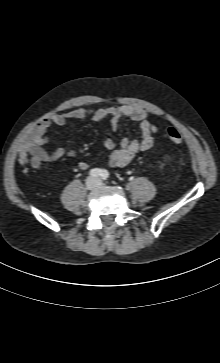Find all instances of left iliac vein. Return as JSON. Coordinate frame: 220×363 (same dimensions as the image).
I'll return each instance as SVG.
<instances>
[{"instance_id":"obj_1","label":"left iliac vein","mask_w":220,"mask_h":363,"mask_svg":"<svg viewBox=\"0 0 220 363\" xmlns=\"http://www.w3.org/2000/svg\"><path fill=\"white\" fill-rule=\"evenodd\" d=\"M97 183H98V185H101V182L98 181Z\"/></svg>"}]
</instances>
